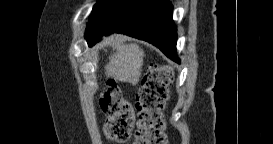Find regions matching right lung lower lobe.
I'll list each match as a JSON object with an SVG mask.
<instances>
[{"label": "right lung lower lobe", "instance_id": "right-lung-lower-lobe-1", "mask_svg": "<svg viewBox=\"0 0 273 144\" xmlns=\"http://www.w3.org/2000/svg\"><path fill=\"white\" fill-rule=\"evenodd\" d=\"M172 11L168 0H117L86 39L92 46L104 35L123 33L155 45L167 57L180 63Z\"/></svg>", "mask_w": 273, "mask_h": 144}]
</instances>
